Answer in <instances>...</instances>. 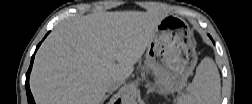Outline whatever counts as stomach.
I'll return each mask as SVG.
<instances>
[{"label":"stomach","instance_id":"0dacf381","mask_svg":"<svg viewBox=\"0 0 252 104\" xmlns=\"http://www.w3.org/2000/svg\"><path fill=\"white\" fill-rule=\"evenodd\" d=\"M197 63V53L188 24L164 17L147 46L146 66L164 93L181 91Z\"/></svg>","mask_w":252,"mask_h":104}]
</instances>
